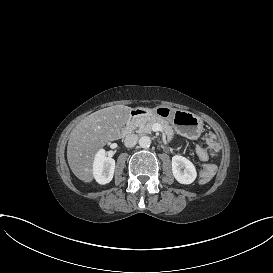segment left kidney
<instances>
[{"label":"left kidney","mask_w":273,"mask_h":273,"mask_svg":"<svg viewBox=\"0 0 273 273\" xmlns=\"http://www.w3.org/2000/svg\"><path fill=\"white\" fill-rule=\"evenodd\" d=\"M182 167H184L183 171L181 170ZM172 174L175 180L182 185H190L197 178L194 164L180 155L172 157Z\"/></svg>","instance_id":"1"}]
</instances>
